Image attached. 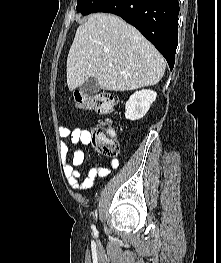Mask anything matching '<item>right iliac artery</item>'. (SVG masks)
<instances>
[{"label": "right iliac artery", "instance_id": "right-iliac-artery-1", "mask_svg": "<svg viewBox=\"0 0 221 263\" xmlns=\"http://www.w3.org/2000/svg\"><path fill=\"white\" fill-rule=\"evenodd\" d=\"M92 229H93V230H95V229H96L94 225H92Z\"/></svg>", "mask_w": 221, "mask_h": 263}]
</instances>
